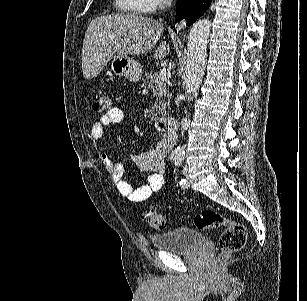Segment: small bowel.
<instances>
[{
  "label": "small bowel",
  "mask_w": 307,
  "mask_h": 301,
  "mask_svg": "<svg viewBox=\"0 0 307 301\" xmlns=\"http://www.w3.org/2000/svg\"><path fill=\"white\" fill-rule=\"evenodd\" d=\"M124 119V111L120 107H112L96 121L90 130V137L99 141L103 137L104 127L110 124H118ZM170 143L163 139L155 147L147 152L134 154L132 159L137 167L146 172H150L144 185L134 188L129 182L124 180V172L121 164L103 152L101 160L106 170L110 174L118 192L133 202H142L160 191L165 183L164 158L169 150Z\"/></svg>",
  "instance_id": "1"
}]
</instances>
